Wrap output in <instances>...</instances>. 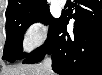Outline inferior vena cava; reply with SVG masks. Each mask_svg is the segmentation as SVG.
I'll list each match as a JSON object with an SVG mask.
<instances>
[{"label":"inferior vena cava","mask_w":102,"mask_h":75,"mask_svg":"<svg viewBox=\"0 0 102 75\" xmlns=\"http://www.w3.org/2000/svg\"><path fill=\"white\" fill-rule=\"evenodd\" d=\"M44 66L47 68L48 71L52 72V60L49 56H46L43 61Z\"/></svg>","instance_id":"obj_1"}]
</instances>
